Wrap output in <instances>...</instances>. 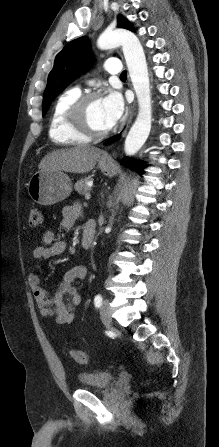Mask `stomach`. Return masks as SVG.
<instances>
[{"label":"stomach","instance_id":"1","mask_svg":"<svg viewBox=\"0 0 219 447\" xmlns=\"http://www.w3.org/2000/svg\"><path fill=\"white\" fill-rule=\"evenodd\" d=\"M98 166L106 176L116 171V164L108 155L99 157ZM27 186L31 199L45 206L66 199L72 192L71 179L62 171L56 170H40L34 173Z\"/></svg>","mask_w":219,"mask_h":447}]
</instances>
